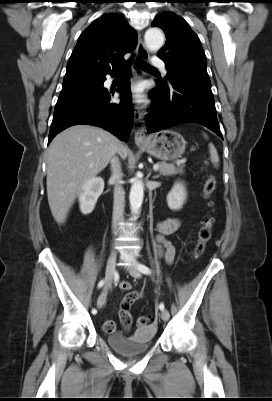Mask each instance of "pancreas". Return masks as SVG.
<instances>
[{"label":"pancreas","mask_w":272,"mask_h":401,"mask_svg":"<svg viewBox=\"0 0 272 401\" xmlns=\"http://www.w3.org/2000/svg\"><path fill=\"white\" fill-rule=\"evenodd\" d=\"M177 163V167L174 164L161 163L159 167L160 174L163 176L176 175L183 173L184 164Z\"/></svg>","instance_id":"cf45deb5"}]
</instances>
